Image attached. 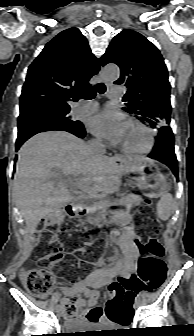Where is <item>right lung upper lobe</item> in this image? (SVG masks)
<instances>
[{
  "label": "right lung upper lobe",
  "mask_w": 194,
  "mask_h": 336,
  "mask_svg": "<svg viewBox=\"0 0 194 336\" xmlns=\"http://www.w3.org/2000/svg\"><path fill=\"white\" fill-rule=\"evenodd\" d=\"M99 68L84 35L77 28L62 31L28 68L19 118L39 110L70 109L74 93L88 88Z\"/></svg>",
  "instance_id": "cb5924a9"
}]
</instances>
